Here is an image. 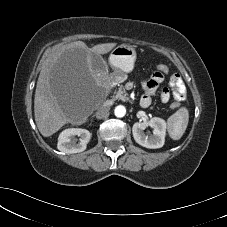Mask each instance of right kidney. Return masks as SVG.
Wrapping results in <instances>:
<instances>
[{
  "mask_svg": "<svg viewBox=\"0 0 227 227\" xmlns=\"http://www.w3.org/2000/svg\"><path fill=\"white\" fill-rule=\"evenodd\" d=\"M76 136L79 137L77 143ZM91 133L86 129L69 128L62 131L58 137V150L67 153H79L86 149L87 143L90 141Z\"/></svg>",
  "mask_w": 227,
  "mask_h": 227,
  "instance_id": "obj_1",
  "label": "right kidney"
}]
</instances>
